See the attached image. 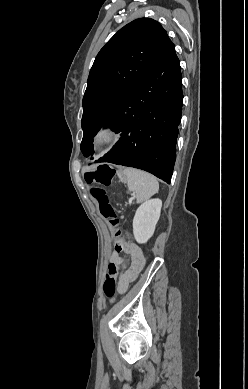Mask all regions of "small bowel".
Wrapping results in <instances>:
<instances>
[{
    "label": "small bowel",
    "instance_id": "small-bowel-1",
    "mask_svg": "<svg viewBox=\"0 0 248 389\" xmlns=\"http://www.w3.org/2000/svg\"><path fill=\"white\" fill-rule=\"evenodd\" d=\"M122 250L132 255L133 263L128 270L121 273L118 277V292L121 294L124 293L127 290L128 286L137 278L145 263V258L143 256L142 251L135 244L124 242ZM110 260L111 263L120 264L121 260L119 257V251L115 250L111 255Z\"/></svg>",
    "mask_w": 248,
    "mask_h": 389
}]
</instances>
